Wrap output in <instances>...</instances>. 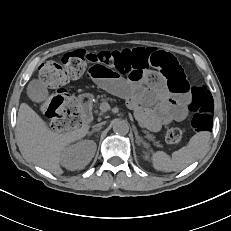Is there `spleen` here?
<instances>
[{
    "instance_id": "spleen-1",
    "label": "spleen",
    "mask_w": 231,
    "mask_h": 231,
    "mask_svg": "<svg viewBox=\"0 0 231 231\" xmlns=\"http://www.w3.org/2000/svg\"><path fill=\"white\" fill-rule=\"evenodd\" d=\"M209 139V131H200L189 140L186 146L173 152L171 157L163 151L154 152L151 157L152 165L157 171H180L204 153Z\"/></svg>"
}]
</instances>
